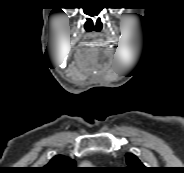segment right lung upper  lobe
<instances>
[{"label":"right lung upper lobe","instance_id":"right-lung-upper-lobe-1","mask_svg":"<svg viewBox=\"0 0 184 173\" xmlns=\"http://www.w3.org/2000/svg\"><path fill=\"white\" fill-rule=\"evenodd\" d=\"M75 171V161L63 155L53 157L46 166L40 168V173H74Z\"/></svg>","mask_w":184,"mask_h":173}]
</instances>
